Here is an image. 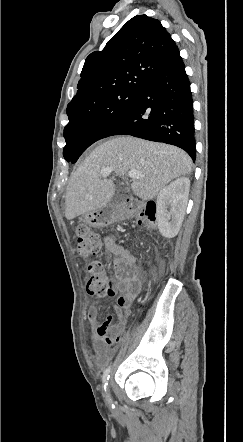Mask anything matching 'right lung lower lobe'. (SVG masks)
Masks as SVG:
<instances>
[{
    "mask_svg": "<svg viewBox=\"0 0 243 442\" xmlns=\"http://www.w3.org/2000/svg\"><path fill=\"white\" fill-rule=\"evenodd\" d=\"M132 135L164 142L196 158L193 100L179 53L144 83L127 111L102 135Z\"/></svg>",
    "mask_w": 243,
    "mask_h": 442,
    "instance_id": "98d812e1",
    "label": "right lung lower lobe"
}]
</instances>
